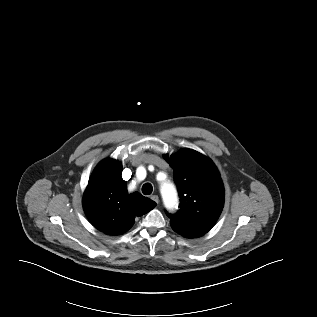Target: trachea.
Here are the masks:
<instances>
[{
    "instance_id": "3493384b",
    "label": "trachea",
    "mask_w": 317,
    "mask_h": 317,
    "mask_svg": "<svg viewBox=\"0 0 317 317\" xmlns=\"http://www.w3.org/2000/svg\"><path fill=\"white\" fill-rule=\"evenodd\" d=\"M153 191V187L150 183H145L143 186H142V192L144 195H150Z\"/></svg>"
}]
</instances>
